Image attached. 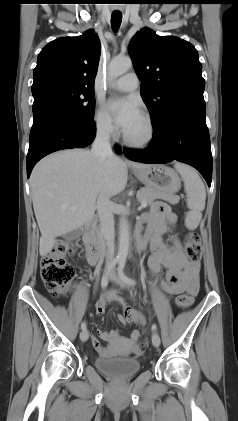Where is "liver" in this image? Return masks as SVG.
I'll return each instance as SVG.
<instances>
[{
  "mask_svg": "<svg viewBox=\"0 0 238 421\" xmlns=\"http://www.w3.org/2000/svg\"><path fill=\"white\" fill-rule=\"evenodd\" d=\"M128 166L141 169L148 165L125 162L115 155L98 158L87 149L58 151L36 164L30 188L41 232V256L52 250L57 237L93 218L100 195L112 197L124 190Z\"/></svg>",
  "mask_w": 238,
  "mask_h": 421,
  "instance_id": "1",
  "label": "liver"
}]
</instances>
